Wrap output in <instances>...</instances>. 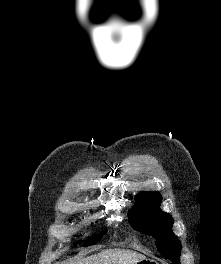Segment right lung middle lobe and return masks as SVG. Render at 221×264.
<instances>
[{
	"instance_id": "obj_1",
	"label": "right lung middle lobe",
	"mask_w": 221,
	"mask_h": 264,
	"mask_svg": "<svg viewBox=\"0 0 221 264\" xmlns=\"http://www.w3.org/2000/svg\"><path fill=\"white\" fill-rule=\"evenodd\" d=\"M106 233V231L104 232ZM103 237V232L95 235V236H91L90 238H88L87 242L84 244V246H89V245H93L95 244L98 240H100Z\"/></svg>"
}]
</instances>
